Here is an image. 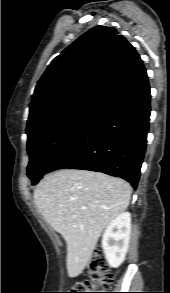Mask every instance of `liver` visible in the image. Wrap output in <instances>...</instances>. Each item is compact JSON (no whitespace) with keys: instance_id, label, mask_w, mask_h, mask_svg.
Returning <instances> with one entry per match:
<instances>
[{"instance_id":"liver-1","label":"liver","mask_w":170,"mask_h":293,"mask_svg":"<svg viewBox=\"0 0 170 293\" xmlns=\"http://www.w3.org/2000/svg\"><path fill=\"white\" fill-rule=\"evenodd\" d=\"M131 186L103 173L63 169L34 190V202L48 224L67 244V271L81 274L103 230L130 202Z\"/></svg>"}]
</instances>
